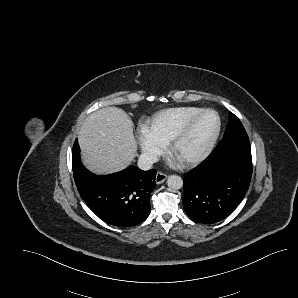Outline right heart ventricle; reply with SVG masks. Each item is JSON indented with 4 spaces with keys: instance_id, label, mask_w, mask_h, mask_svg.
<instances>
[{
    "instance_id": "1",
    "label": "right heart ventricle",
    "mask_w": 298,
    "mask_h": 298,
    "mask_svg": "<svg viewBox=\"0 0 298 298\" xmlns=\"http://www.w3.org/2000/svg\"><path fill=\"white\" fill-rule=\"evenodd\" d=\"M203 110L200 107L183 106L173 107L161 110L153 115L151 124L158 128L164 134L165 138L169 136L174 129L183 123L186 119Z\"/></svg>"
}]
</instances>
